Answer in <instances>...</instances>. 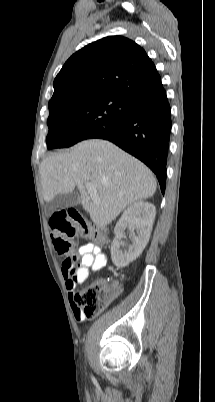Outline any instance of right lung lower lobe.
Segmentation results:
<instances>
[{"mask_svg": "<svg viewBox=\"0 0 215 402\" xmlns=\"http://www.w3.org/2000/svg\"><path fill=\"white\" fill-rule=\"evenodd\" d=\"M171 108L164 89L136 98L122 120L90 138L106 139L144 162L165 192Z\"/></svg>", "mask_w": 215, "mask_h": 402, "instance_id": "1", "label": "right lung lower lobe"}]
</instances>
